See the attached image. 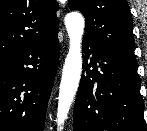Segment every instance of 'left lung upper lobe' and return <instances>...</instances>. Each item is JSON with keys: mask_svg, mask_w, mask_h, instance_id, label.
Segmentation results:
<instances>
[{"mask_svg": "<svg viewBox=\"0 0 147 131\" xmlns=\"http://www.w3.org/2000/svg\"><path fill=\"white\" fill-rule=\"evenodd\" d=\"M86 19L84 40L137 64L133 20L126 0H69Z\"/></svg>", "mask_w": 147, "mask_h": 131, "instance_id": "obj_1", "label": "left lung upper lobe"}]
</instances>
